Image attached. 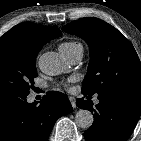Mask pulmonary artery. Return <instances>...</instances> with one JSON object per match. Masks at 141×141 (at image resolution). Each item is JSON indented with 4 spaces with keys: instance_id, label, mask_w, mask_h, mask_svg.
I'll return each mask as SVG.
<instances>
[{
    "instance_id": "obj_1",
    "label": "pulmonary artery",
    "mask_w": 141,
    "mask_h": 141,
    "mask_svg": "<svg viewBox=\"0 0 141 141\" xmlns=\"http://www.w3.org/2000/svg\"><path fill=\"white\" fill-rule=\"evenodd\" d=\"M64 57H66L72 63H78L82 56H83V48L77 47L69 52L64 53L63 51L59 50ZM95 102L98 103V99H95Z\"/></svg>"
}]
</instances>
